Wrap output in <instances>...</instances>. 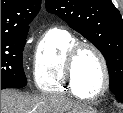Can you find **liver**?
Wrapping results in <instances>:
<instances>
[{
    "mask_svg": "<svg viewBox=\"0 0 123 113\" xmlns=\"http://www.w3.org/2000/svg\"><path fill=\"white\" fill-rule=\"evenodd\" d=\"M81 107L60 95H29L1 90V113H76Z\"/></svg>",
    "mask_w": 123,
    "mask_h": 113,
    "instance_id": "6515ba94",
    "label": "liver"
}]
</instances>
